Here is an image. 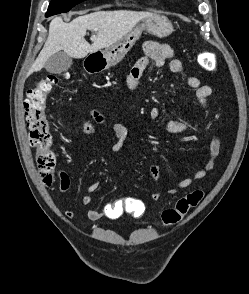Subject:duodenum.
I'll list each match as a JSON object with an SVG mask.
<instances>
[{"label":"duodenum","mask_w":249,"mask_h":294,"mask_svg":"<svg viewBox=\"0 0 249 294\" xmlns=\"http://www.w3.org/2000/svg\"><path fill=\"white\" fill-rule=\"evenodd\" d=\"M86 70L88 73H96L101 70V66L98 64L92 65V64L88 63L86 65Z\"/></svg>","instance_id":"obj_1"}]
</instances>
